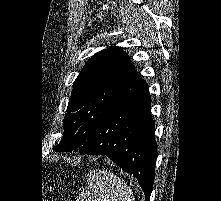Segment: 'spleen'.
Masks as SVG:
<instances>
[{
    "label": "spleen",
    "instance_id": "obj_1",
    "mask_svg": "<svg viewBox=\"0 0 221 201\" xmlns=\"http://www.w3.org/2000/svg\"><path fill=\"white\" fill-rule=\"evenodd\" d=\"M76 201H134L130 187L111 172L95 169Z\"/></svg>",
    "mask_w": 221,
    "mask_h": 201
}]
</instances>
